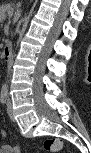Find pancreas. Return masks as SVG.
I'll return each mask as SVG.
<instances>
[{
    "label": "pancreas",
    "instance_id": "obj_1",
    "mask_svg": "<svg viewBox=\"0 0 91 153\" xmlns=\"http://www.w3.org/2000/svg\"><path fill=\"white\" fill-rule=\"evenodd\" d=\"M13 10H14V7L12 5L5 4V5H2L0 11H1L2 17H4L5 13H8L9 15H11Z\"/></svg>",
    "mask_w": 91,
    "mask_h": 153
}]
</instances>
